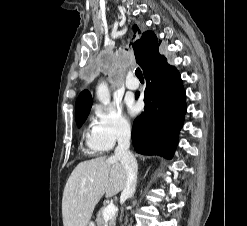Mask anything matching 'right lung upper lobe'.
Wrapping results in <instances>:
<instances>
[{"label": "right lung upper lobe", "instance_id": "obj_1", "mask_svg": "<svg viewBox=\"0 0 247 226\" xmlns=\"http://www.w3.org/2000/svg\"><path fill=\"white\" fill-rule=\"evenodd\" d=\"M133 32V38L138 37L136 42L133 44L135 58L137 63L144 70L147 53L152 49L159 48L161 41L158 40L157 36L153 31L142 32L137 25L133 26ZM91 105L92 99L89 91L83 90L76 100L75 116L78 117L90 110Z\"/></svg>", "mask_w": 247, "mask_h": 226}]
</instances>
